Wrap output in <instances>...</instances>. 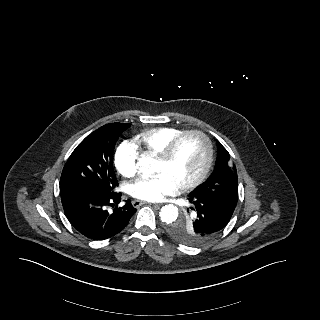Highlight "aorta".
I'll use <instances>...</instances> for the list:
<instances>
[{
	"mask_svg": "<svg viewBox=\"0 0 320 320\" xmlns=\"http://www.w3.org/2000/svg\"><path fill=\"white\" fill-rule=\"evenodd\" d=\"M156 163L154 158L142 155L137 163L138 170L140 173L153 174L156 171ZM159 216L162 222L170 224L178 218L179 211L175 205L168 204L161 208Z\"/></svg>",
	"mask_w": 320,
	"mask_h": 320,
	"instance_id": "obj_1",
	"label": "aorta"
}]
</instances>
